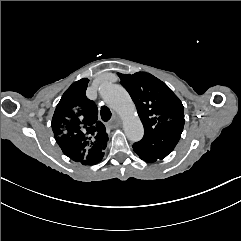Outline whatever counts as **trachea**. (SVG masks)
<instances>
[{"label":"trachea","mask_w":241,"mask_h":241,"mask_svg":"<svg viewBox=\"0 0 241 241\" xmlns=\"http://www.w3.org/2000/svg\"><path fill=\"white\" fill-rule=\"evenodd\" d=\"M100 114H101L102 120L105 121V122L109 121L111 116H112V113L107 106L101 107Z\"/></svg>","instance_id":"1"}]
</instances>
